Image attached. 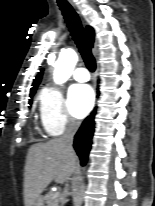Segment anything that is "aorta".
<instances>
[{"label":"aorta","mask_w":155,"mask_h":206,"mask_svg":"<svg viewBox=\"0 0 155 206\" xmlns=\"http://www.w3.org/2000/svg\"><path fill=\"white\" fill-rule=\"evenodd\" d=\"M77 61L78 56L73 49H64L54 66V82L57 84L65 83L72 75Z\"/></svg>","instance_id":"1"}]
</instances>
